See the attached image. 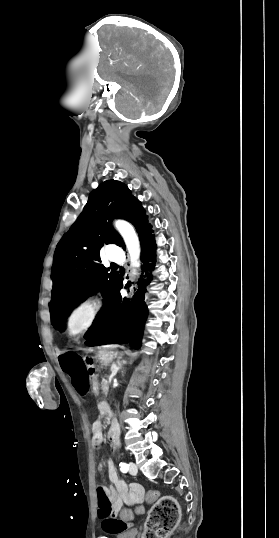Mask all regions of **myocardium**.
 Wrapping results in <instances>:
<instances>
[{
	"label": "myocardium",
	"mask_w": 279,
	"mask_h": 538,
	"mask_svg": "<svg viewBox=\"0 0 279 538\" xmlns=\"http://www.w3.org/2000/svg\"><path fill=\"white\" fill-rule=\"evenodd\" d=\"M100 304L97 299L86 297L77 302L69 311L64 333L69 339L84 336L96 323L99 317Z\"/></svg>",
	"instance_id": "myocardium-1"
}]
</instances>
